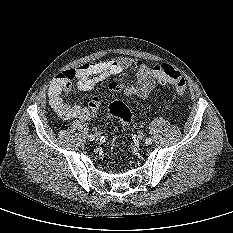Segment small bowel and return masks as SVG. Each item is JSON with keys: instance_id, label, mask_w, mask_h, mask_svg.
Returning a JSON list of instances; mask_svg holds the SVG:
<instances>
[{"instance_id": "1", "label": "small bowel", "mask_w": 233, "mask_h": 233, "mask_svg": "<svg viewBox=\"0 0 233 233\" xmlns=\"http://www.w3.org/2000/svg\"><path fill=\"white\" fill-rule=\"evenodd\" d=\"M128 69L134 71L136 83L126 85L116 82L110 83L107 89L108 93L122 92L127 96H136L141 99L147 98L155 86L154 67L147 65L140 59L117 57L95 63H85L76 69L65 71L49 89L50 105L63 120H91L103 96L94 97L88 106L66 103L62 95L67 82L74 80L78 90L87 91L107 78L118 75Z\"/></svg>"}]
</instances>
